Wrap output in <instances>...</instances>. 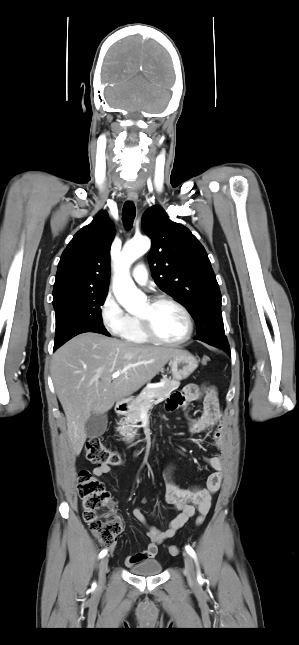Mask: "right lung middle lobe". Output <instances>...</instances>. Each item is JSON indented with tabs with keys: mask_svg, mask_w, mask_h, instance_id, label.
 Masks as SVG:
<instances>
[{
	"mask_svg": "<svg viewBox=\"0 0 299 645\" xmlns=\"http://www.w3.org/2000/svg\"><path fill=\"white\" fill-rule=\"evenodd\" d=\"M106 295L107 291L68 293L54 300L56 315L54 345L60 346L83 331L108 333L102 323L100 308Z\"/></svg>",
	"mask_w": 299,
	"mask_h": 645,
	"instance_id": "obj_1",
	"label": "right lung middle lobe"
}]
</instances>
